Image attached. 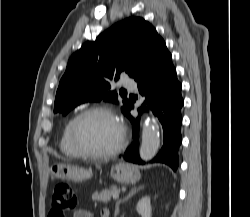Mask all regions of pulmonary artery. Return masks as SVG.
<instances>
[{"mask_svg": "<svg viewBox=\"0 0 250 217\" xmlns=\"http://www.w3.org/2000/svg\"><path fill=\"white\" fill-rule=\"evenodd\" d=\"M122 85L129 90H135L137 88V84L134 80H125L122 82Z\"/></svg>", "mask_w": 250, "mask_h": 217, "instance_id": "obj_1", "label": "pulmonary artery"}]
</instances>
